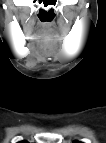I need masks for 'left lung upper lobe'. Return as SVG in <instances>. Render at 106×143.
Listing matches in <instances>:
<instances>
[{"label": "left lung upper lobe", "instance_id": "left-lung-upper-lobe-1", "mask_svg": "<svg viewBox=\"0 0 106 143\" xmlns=\"http://www.w3.org/2000/svg\"><path fill=\"white\" fill-rule=\"evenodd\" d=\"M75 143H80V142H78V141H75Z\"/></svg>", "mask_w": 106, "mask_h": 143}]
</instances>
